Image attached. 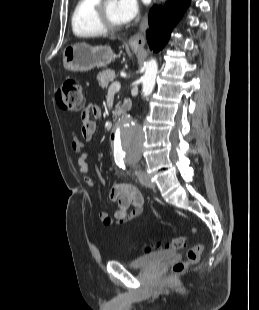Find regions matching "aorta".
<instances>
[{"instance_id":"1","label":"aorta","mask_w":259,"mask_h":310,"mask_svg":"<svg viewBox=\"0 0 259 310\" xmlns=\"http://www.w3.org/2000/svg\"><path fill=\"white\" fill-rule=\"evenodd\" d=\"M158 65L156 60H150L143 76L142 92L144 96L151 94L154 86ZM144 143V133L142 128L128 116H123L114 132L112 146L114 154L122 156L128 160H138L141 157Z\"/></svg>"}]
</instances>
